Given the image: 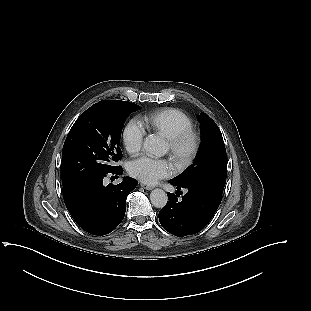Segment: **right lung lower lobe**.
Here are the masks:
<instances>
[{"label":"right lung lower lobe","instance_id":"right-lung-lower-lobe-1","mask_svg":"<svg viewBox=\"0 0 311 311\" xmlns=\"http://www.w3.org/2000/svg\"><path fill=\"white\" fill-rule=\"evenodd\" d=\"M120 166L111 172L121 175ZM104 175H90L63 186L66 207L75 222L93 235H106L123 220L126 198L137 186V181L125 177L118 185H103Z\"/></svg>","mask_w":311,"mask_h":311}]
</instances>
